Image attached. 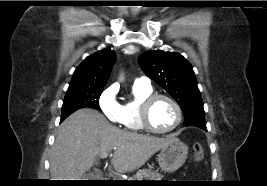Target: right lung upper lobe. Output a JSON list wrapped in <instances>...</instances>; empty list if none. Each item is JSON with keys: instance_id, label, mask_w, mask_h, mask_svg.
I'll list each match as a JSON object with an SVG mask.
<instances>
[{"instance_id": "right-lung-upper-lobe-1", "label": "right lung upper lobe", "mask_w": 267, "mask_h": 186, "mask_svg": "<svg viewBox=\"0 0 267 186\" xmlns=\"http://www.w3.org/2000/svg\"><path fill=\"white\" fill-rule=\"evenodd\" d=\"M116 61V54L103 49L88 56L74 71L68 90L104 88Z\"/></svg>"}]
</instances>
